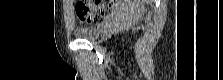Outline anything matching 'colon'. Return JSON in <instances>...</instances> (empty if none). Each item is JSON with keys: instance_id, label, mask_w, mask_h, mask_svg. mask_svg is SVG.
Masks as SVG:
<instances>
[{"instance_id": "obj_1", "label": "colon", "mask_w": 223, "mask_h": 80, "mask_svg": "<svg viewBox=\"0 0 223 80\" xmlns=\"http://www.w3.org/2000/svg\"><path fill=\"white\" fill-rule=\"evenodd\" d=\"M118 1H112L116 4ZM110 8L102 5L101 1H78L75 5V12L79 21L88 24H98L108 14Z\"/></svg>"}]
</instances>
